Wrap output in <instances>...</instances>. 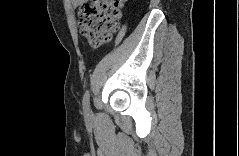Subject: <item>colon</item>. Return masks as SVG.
I'll return each mask as SVG.
<instances>
[{"label": "colon", "instance_id": "5ec220e1", "mask_svg": "<svg viewBox=\"0 0 239 156\" xmlns=\"http://www.w3.org/2000/svg\"><path fill=\"white\" fill-rule=\"evenodd\" d=\"M121 8L120 1L93 0L80 5L79 28L90 46L100 47L111 39L119 25Z\"/></svg>", "mask_w": 239, "mask_h": 156}]
</instances>
